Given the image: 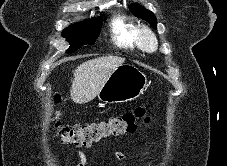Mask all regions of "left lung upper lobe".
Segmentation results:
<instances>
[{
  "instance_id": "5c2ea615",
  "label": "left lung upper lobe",
  "mask_w": 227,
  "mask_h": 166,
  "mask_svg": "<svg viewBox=\"0 0 227 166\" xmlns=\"http://www.w3.org/2000/svg\"><path fill=\"white\" fill-rule=\"evenodd\" d=\"M130 10L136 17L146 20L151 24V26L156 28L157 21L151 11L137 4L130 5Z\"/></svg>"
}]
</instances>
